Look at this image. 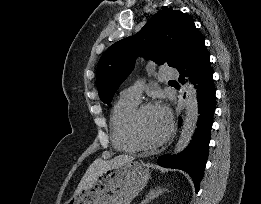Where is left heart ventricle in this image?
<instances>
[{"instance_id":"left-heart-ventricle-1","label":"left heart ventricle","mask_w":261,"mask_h":204,"mask_svg":"<svg viewBox=\"0 0 261 204\" xmlns=\"http://www.w3.org/2000/svg\"><path fill=\"white\" fill-rule=\"evenodd\" d=\"M168 127L167 116L158 107L149 108L142 114L139 121V131L148 142L159 140Z\"/></svg>"}]
</instances>
